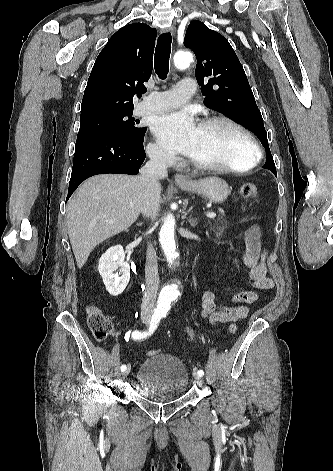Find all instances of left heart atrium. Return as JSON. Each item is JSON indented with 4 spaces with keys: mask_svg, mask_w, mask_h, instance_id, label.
I'll return each instance as SVG.
<instances>
[{
    "mask_svg": "<svg viewBox=\"0 0 333 471\" xmlns=\"http://www.w3.org/2000/svg\"><path fill=\"white\" fill-rule=\"evenodd\" d=\"M153 131L166 148L190 156L198 126L190 112L179 111L158 117Z\"/></svg>",
    "mask_w": 333,
    "mask_h": 471,
    "instance_id": "left-heart-atrium-1",
    "label": "left heart atrium"
}]
</instances>
